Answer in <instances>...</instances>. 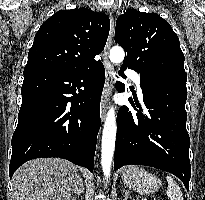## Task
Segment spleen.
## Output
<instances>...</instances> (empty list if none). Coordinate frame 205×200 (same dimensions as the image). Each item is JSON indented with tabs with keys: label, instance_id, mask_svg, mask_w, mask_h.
Masks as SVG:
<instances>
[{
	"label": "spleen",
	"instance_id": "obj_1",
	"mask_svg": "<svg viewBox=\"0 0 205 200\" xmlns=\"http://www.w3.org/2000/svg\"><path fill=\"white\" fill-rule=\"evenodd\" d=\"M166 180L168 183L166 194L170 200H183V194L176 181L170 176H166Z\"/></svg>",
	"mask_w": 205,
	"mask_h": 200
}]
</instances>
